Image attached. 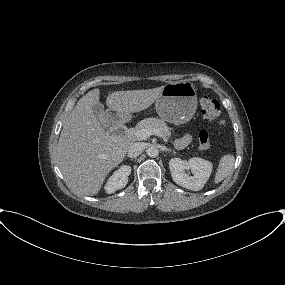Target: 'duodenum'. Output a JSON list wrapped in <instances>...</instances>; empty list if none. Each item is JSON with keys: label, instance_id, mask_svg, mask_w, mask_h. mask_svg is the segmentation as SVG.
Instances as JSON below:
<instances>
[{"label": "duodenum", "instance_id": "obj_1", "mask_svg": "<svg viewBox=\"0 0 285 285\" xmlns=\"http://www.w3.org/2000/svg\"><path fill=\"white\" fill-rule=\"evenodd\" d=\"M111 133L119 136V137H123L125 134V127L124 124L122 122H118V121H114L111 124V129H110Z\"/></svg>", "mask_w": 285, "mask_h": 285}]
</instances>
